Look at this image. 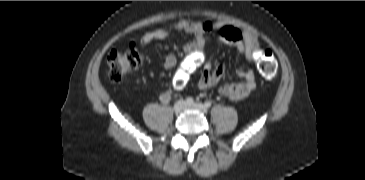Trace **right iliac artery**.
<instances>
[{"label":"right iliac artery","instance_id":"1","mask_svg":"<svg viewBox=\"0 0 365 180\" xmlns=\"http://www.w3.org/2000/svg\"><path fill=\"white\" fill-rule=\"evenodd\" d=\"M185 103L188 105H192L194 103V100L191 97L186 98Z\"/></svg>","mask_w":365,"mask_h":180}]
</instances>
